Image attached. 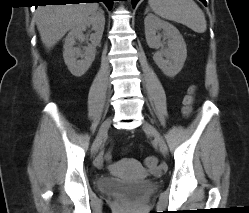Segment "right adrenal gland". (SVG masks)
I'll return each instance as SVG.
<instances>
[{
	"label": "right adrenal gland",
	"mask_w": 249,
	"mask_h": 213,
	"mask_svg": "<svg viewBox=\"0 0 249 213\" xmlns=\"http://www.w3.org/2000/svg\"><path fill=\"white\" fill-rule=\"evenodd\" d=\"M99 11H100L101 13H104L102 9H99Z\"/></svg>",
	"instance_id": "right-adrenal-gland-1"
}]
</instances>
